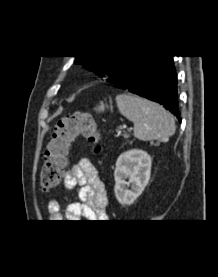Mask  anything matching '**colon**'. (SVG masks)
Instances as JSON below:
<instances>
[{
	"mask_svg": "<svg viewBox=\"0 0 218 277\" xmlns=\"http://www.w3.org/2000/svg\"><path fill=\"white\" fill-rule=\"evenodd\" d=\"M79 136L101 150V134L94 117L85 111L60 118L53 130L44 155L40 185L44 190L54 188L62 179L70 146Z\"/></svg>",
	"mask_w": 218,
	"mask_h": 277,
	"instance_id": "colon-1",
	"label": "colon"
}]
</instances>
